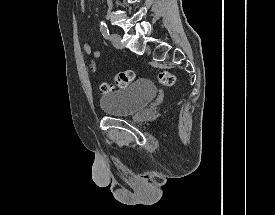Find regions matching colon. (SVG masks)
Masks as SVG:
<instances>
[{"instance_id":"obj_1","label":"colon","mask_w":275,"mask_h":215,"mask_svg":"<svg viewBox=\"0 0 275 215\" xmlns=\"http://www.w3.org/2000/svg\"><path fill=\"white\" fill-rule=\"evenodd\" d=\"M92 68H95V65L92 64ZM158 81L167 86H174L176 83V77L174 74L168 71H160L157 74ZM135 79V73L132 70H121L114 76L112 83L104 82L101 84V91L105 94L111 92L116 88H124L130 85Z\"/></svg>"}]
</instances>
